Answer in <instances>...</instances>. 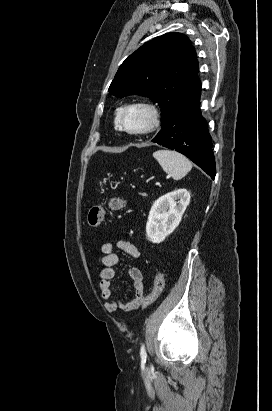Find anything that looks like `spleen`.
<instances>
[{
    "label": "spleen",
    "mask_w": 272,
    "mask_h": 411,
    "mask_svg": "<svg viewBox=\"0 0 272 411\" xmlns=\"http://www.w3.org/2000/svg\"><path fill=\"white\" fill-rule=\"evenodd\" d=\"M153 157L164 172L174 180H180L192 169V163L184 155L172 150H157Z\"/></svg>",
    "instance_id": "3e777b00"
}]
</instances>
